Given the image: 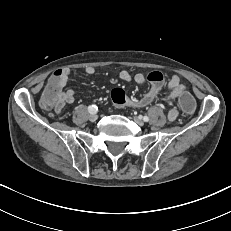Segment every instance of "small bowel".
I'll use <instances>...</instances> for the list:
<instances>
[{
    "label": "small bowel",
    "mask_w": 231,
    "mask_h": 231,
    "mask_svg": "<svg viewBox=\"0 0 231 231\" xmlns=\"http://www.w3.org/2000/svg\"><path fill=\"white\" fill-rule=\"evenodd\" d=\"M63 76L59 81V89L56 91L57 99L52 106L56 113H61L66 104H71L75 101V92L73 89L64 90L67 81L70 76V70L67 68L61 69ZM84 73L87 75H93L95 69L91 66L84 68ZM119 78L125 82L134 81L137 84H145L148 82L150 84V89L148 92L137 98H127L126 105L132 107H145L152 103L155 97L158 95L160 90L165 84L163 75L160 72H151L147 76L142 73H137L132 75L126 70H122L119 73ZM167 92L165 95V100L169 106V111L167 118L170 122H173L178 117L179 111V97L177 96V91L180 88H186V86L181 82L179 76L172 75L166 83ZM188 91V90H187ZM190 94V93H189ZM191 95V94H190ZM183 111V110H182Z\"/></svg>",
    "instance_id": "1"
}]
</instances>
